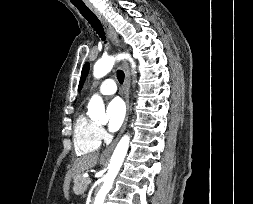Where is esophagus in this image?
Masks as SVG:
<instances>
[{
    "instance_id": "obj_1",
    "label": "esophagus",
    "mask_w": 253,
    "mask_h": 204,
    "mask_svg": "<svg viewBox=\"0 0 253 204\" xmlns=\"http://www.w3.org/2000/svg\"><path fill=\"white\" fill-rule=\"evenodd\" d=\"M87 6L97 16V18L100 20V22L103 24L112 43L116 47L120 48V42L118 41L116 33H115L113 27L110 25V23L105 19V17L93 5L88 3ZM122 65H123L124 73H125V79H124V85H123V95H124V99H125V103H126V116H125V120H124L123 126H122L119 134L117 135L115 140L101 154V157H104V158H108L111 156L116 144L118 143L120 137L122 136V134L124 133V131L126 129L129 114H130V96H129V94H130V71H129V67H128V64L126 61H123Z\"/></svg>"
}]
</instances>
